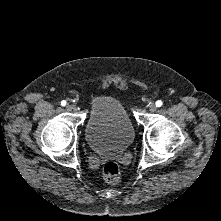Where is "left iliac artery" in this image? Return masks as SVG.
<instances>
[{"label": "left iliac artery", "mask_w": 221, "mask_h": 221, "mask_svg": "<svg viewBox=\"0 0 221 221\" xmlns=\"http://www.w3.org/2000/svg\"><path fill=\"white\" fill-rule=\"evenodd\" d=\"M162 104H163V103H162V101H161V100L156 101V106H157V107L162 106Z\"/></svg>", "instance_id": "44dca946"}]
</instances>
